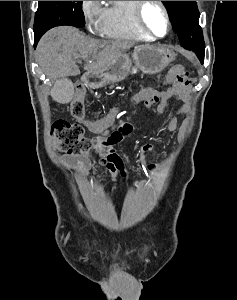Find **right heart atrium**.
<instances>
[{"label":"right heart atrium","instance_id":"obj_1","mask_svg":"<svg viewBox=\"0 0 237 300\" xmlns=\"http://www.w3.org/2000/svg\"><path fill=\"white\" fill-rule=\"evenodd\" d=\"M81 11L87 27L92 31H100L105 15L101 1H81Z\"/></svg>","mask_w":237,"mask_h":300}]
</instances>
